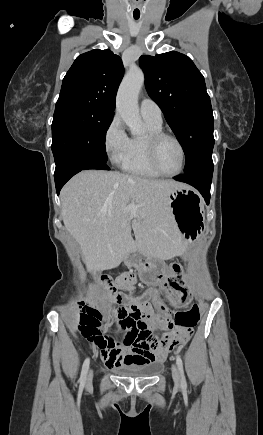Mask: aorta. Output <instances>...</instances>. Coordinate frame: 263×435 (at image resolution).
Listing matches in <instances>:
<instances>
[{"label": "aorta", "mask_w": 263, "mask_h": 435, "mask_svg": "<svg viewBox=\"0 0 263 435\" xmlns=\"http://www.w3.org/2000/svg\"><path fill=\"white\" fill-rule=\"evenodd\" d=\"M143 84L144 74L140 69L129 71L116 98V110L134 135H140L144 130L138 108V94Z\"/></svg>", "instance_id": "1"}]
</instances>
